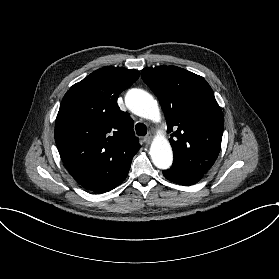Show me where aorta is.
Instances as JSON below:
<instances>
[{
    "label": "aorta",
    "instance_id": "obj_1",
    "mask_svg": "<svg viewBox=\"0 0 279 279\" xmlns=\"http://www.w3.org/2000/svg\"><path fill=\"white\" fill-rule=\"evenodd\" d=\"M125 104L135 115L158 121L160 110L157 101L148 92L141 89H131L125 96ZM150 156L153 164L159 169H167L172 165L173 152L169 141L158 136L150 147Z\"/></svg>",
    "mask_w": 279,
    "mask_h": 279
}]
</instances>
